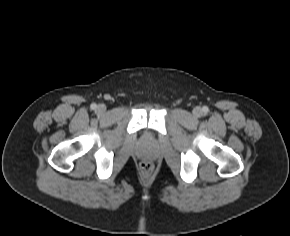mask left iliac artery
Instances as JSON below:
<instances>
[{
  "label": "left iliac artery",
  "instance_id": "1",
  "mask_svg": "<svg viewBox=\"0 0 290 236\" xmlns=\"http://www.w3.org/2000/svg\"><path fill=\"white\" fill-rule=\"evenodd\" d=\"M202 110H203L204 113H207L209 111L207 106H204Z\"/></svg>",
  "mask_w": 290,
  "mask_h": 236
}]
</instances>
